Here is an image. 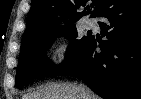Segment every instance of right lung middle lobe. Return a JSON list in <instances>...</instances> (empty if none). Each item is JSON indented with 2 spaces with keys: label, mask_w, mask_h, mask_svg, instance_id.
I'll return each mask as SVG.
<instances>
[{
  "label": "right lung middle lobe",
  "mask_w": 141,
  "mask_h": 99,
  "mask_svg": "<svg viewBox=\"0 0 141 99\" xmlns=\"http://www.w3.org/2000/svg\"><path fill=\"white\" fill-rule=\"evenodd\" d=\"M64 33L67 34L71 43L67 49L65 61L60 66H53V63L45 56L46 50L58 35ZM76 38L77 30L75 25H73L66 28L65 31L61 32L60 30L21 45L16 72V87L22 88L33 79L56 75L69 65L91 37H83L81 40Z\"/></svg>",
  "instance_id": "dd1d6c3e"
}]
</instances>
